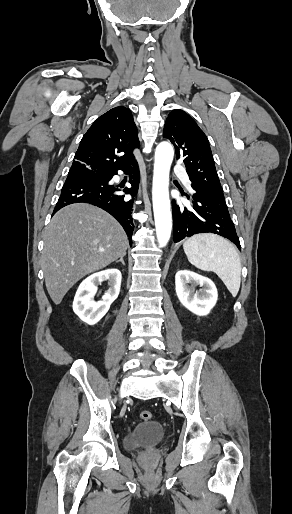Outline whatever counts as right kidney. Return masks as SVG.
Here are the masks:
<instances>
[{
	"label": "right kidney",
	"instance_id": "right-kidney-1",
	"mask_svg": "<svg viewBox=\"0 0 292 514\" xmlns=\"http://www.w3.org/2000/svg\"><path fill=\"white\" fill-rule=\"evenodd\" d=\"M108 280L109 290L104 294L100 302H94V296L101 286V282ZM121 272L119 270H103L92 274L80 284L74 298L73 310L82 322L86 324H97L107 314L112 302L119 296L121 286Z\"/></svg>",
	"mask_w": 292,
	"mask_h": 514
}]
</instances>
